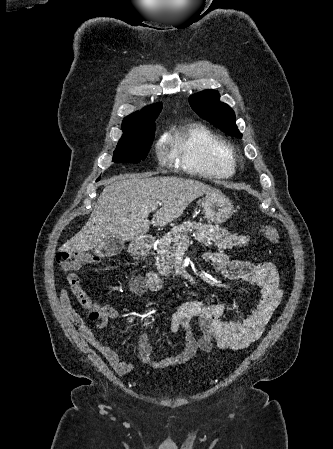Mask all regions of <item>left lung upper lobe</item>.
Instances as JSON below:
<instances>
[{
	"label": "left lung upper lobe",
	"mask_w": 333,
	"mask_h": 449,
	"mask_svg": "<svg viewBox=\"0 0 333 449\" xmlns=\"http://www.w3.org/2000/svg\"><path fill=\"white\" fill-rule=\"evenodd\" d=\"M220 95L214 90H205L191 95L189 98L192 109L203 119L215 124L229 135L242 137L235 124L233 110L220 102Z\"/></svg>",
	"instance_id": "obj_1"
}]
</instances>
